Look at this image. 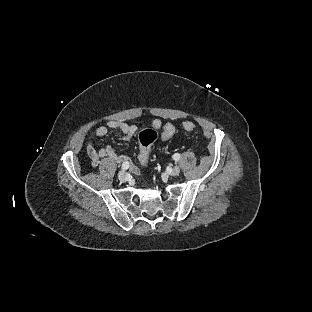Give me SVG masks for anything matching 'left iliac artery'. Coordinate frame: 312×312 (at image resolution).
<instances>
[{
    "mask_svg": "<svg viewBox=\"0 0 312 312\" xmlns=\"http://www.w3.org/2000/svg\"><path fill=\"white\" fill-rule=\"evenodd\" d=\"M173 159L176 160V161H178V160L180 159V154L175 153V154L173 155Z\"/></svg>",
    "mask_w": 312,
    "mask_h": 312,
    "instance_id": "44dca946",
    "label": "left iliac artery"
}]
</instances>
